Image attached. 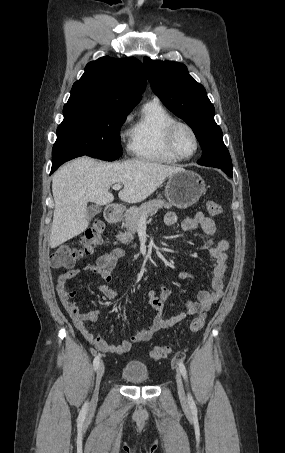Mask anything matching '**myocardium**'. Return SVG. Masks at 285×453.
Listing matches in <instances>:
<instances>
[{
    "label": "myocardium",
    "instance_id": "f54148a6",
    "mask_svg": "<svg viewBox=\"0 0 285 453\" xmlns=\"http://www.w3.org/2000/svg\"><path fill=\"white\" fill-rule=\"evenodd\" d=\"M179 128L187 129L194 139L195 149H194L193 153L190 155L181 154L175 146V134ZM165 144H166V147L169 150V152L180 160H187V159L192 158L197 153L199 146H200L199 138L197 136V133L193 129V127L190 126L188 123L180 122V121H175L167 127V129L165 131Z\"/></svg>",
    "mask_w": 285,
    "mask_h": 453
}]
</instances>
